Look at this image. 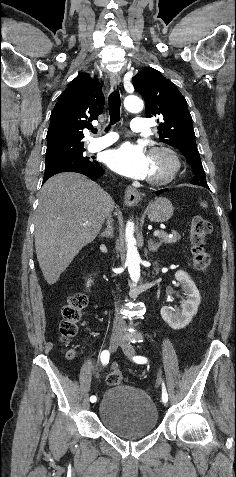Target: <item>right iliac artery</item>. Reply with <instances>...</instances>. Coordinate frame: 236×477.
Instances as JSON below:
<instances>
[{
  "instance_id": "82829eb1",
  "label": "right iliac artery",
  "mask_w": 236,
  "mask_h": 477,
  "mask_svg": "<svg viewBox=\"0 0 236 477\" xmlns=\"http://www.w3.org/2000/svg\"><path fill=\"white\" fill-rule=\"evenodd\" d=\"M109 358H110V353L108 350H103L101 352V355H100V360H101V363L105 366L109 363ZM97 399H96V396H91L90 397V403L95 405L97 404Z\"/></svg>"
}]
</instances>
